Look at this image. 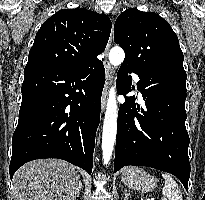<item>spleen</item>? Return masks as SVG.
I'll return each mask as SVG.
<instances>
[{"label": "spleen", "instance_id": "3e777b00", "mask_svg": "<svg viewBox=\"0 0 205 200\" xmlns=\"http://www.w3.org/2000/svg\"><path fill=\"white\" fill-rule=\"evenodd\" d=\"M161 175L164 179L163 196L168 198V200H183L182 192L176 181L169 174L161 173Z\"/></svg>", "mask_w": 205, "mask_h": 200}]
</instances>
